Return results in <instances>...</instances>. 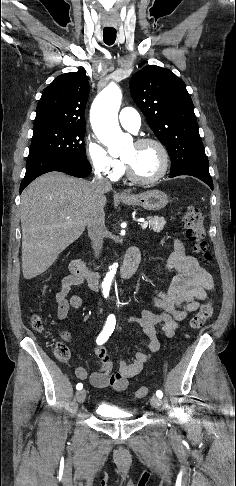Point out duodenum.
Returning <instances> with one entry per match:
<instances>
[{
	"label": "duodenum",
	"mask_w": 236,
	"mask_h": 486,
	"mask_svg": "<svg viewBox=\"0 0 236 486\" xmlns=\"http://www.w3.org/2000/svg\"><path fill=\"white\" fill-rule=\"evenodd\" d=\"M140 263V251L137 247L132 246L128 248L120 273L123 279L131 278ZM71 273L80 280H87L92 288H95L98 283V274L90 270L87 265L80 259L74 258L70 262Z\"/></svg>",
	"instance_id": "obj_1"
}]
</instances>
